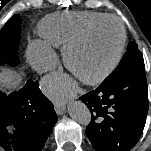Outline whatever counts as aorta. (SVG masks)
<instances>
[{
	"mask_svg": "<svg viewBox=\"0 0 151 151\" xmlns=\"http://www.w3.org/2000/svg\"><path fill=\"white\" fill-rule=\"evenodd\" d=\"M68 113L77 123L87 126L91 121L88 107L80 101H72L68 105Z\"/></svg>",
	"mask_w": 151,
	"mask_h": 151,
	"instance_id": "1",
	"label": "aorta"
}]
</instances>
